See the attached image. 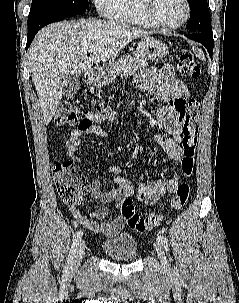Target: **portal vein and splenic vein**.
<instances>
[{
    "mask_svg": "<svg viewBox=\"0 0 239 303\" xmlns=\"http://www.w3.org/2000/svg\"><path fill=\"white\" fill-rule=\"evenodd\" d=\"M94 50H95V47H90L88 51H89V52H92V51H94Z\"/></svg>",
    "mask_w": 239,
    "mask_h": 303,
    "instance_id": "obj_1",
    "label": "portal vein and splenic vein"
}]
</instances>
